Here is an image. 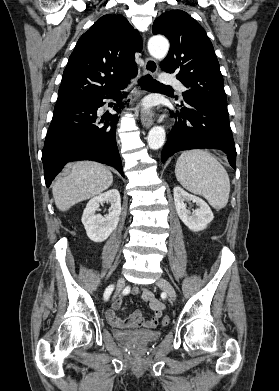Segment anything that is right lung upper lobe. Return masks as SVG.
I'll use <instances>...</instances> for the list:
<instances>
[{
	"label": "right lung upper lobe",
	"instance_id": "cb5924a9",
	"mask_svg": "<svg viewBox=\"0 0 279 391\" xmlns=\"http://www.w3.org/2000/svg\"><path fill=\"white\" fill-rule=\"evenodd\" d=\"M142 40L121 15H104L78 40L63 72L55 107L111 94L137 73Z\"/></svg>",
	"mask_w": 279,
	"mask_h": 391
}]
</instances>
